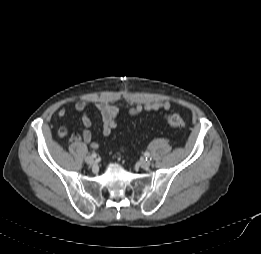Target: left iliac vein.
Wrapping results in <instances>:
<instances>
[{"label": "left iliac vein", "mask_w": 261, "mask_h": 254, "mask_svg": "<svg viewBox=\"0 0 261 254\" xmlns=\"http://www.w3.org/2000/svg\"><path fill=\"white\" fill-rule=\"evenodd\" d=\"M151 163L148 160L142 159L140 161V167L143 169H148L150 167Z\"/></svg>", "instance_id": "4c4485c4"}]
</instances>
